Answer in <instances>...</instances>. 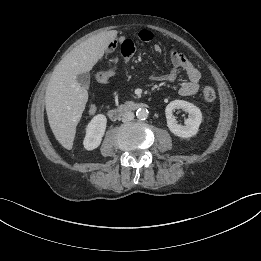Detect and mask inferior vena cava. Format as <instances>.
<instances>
[{"mask_svg":"<svg viewBox=\"0 0 261 261\" xmlns=\"http://www.w3.org/2000/svg\"><path fill=\"white\" fill-rule=\"evenodd\" d=\"M121 119H122V122L131 121V120L134 119V113L131 112V111L124 112V113L122 114Z\"/></svg>","mask_w":261,"mask_h":261,"instance_id":"inferior-vena-cava-1","label":"inferior vena cava"}]
</instances>
